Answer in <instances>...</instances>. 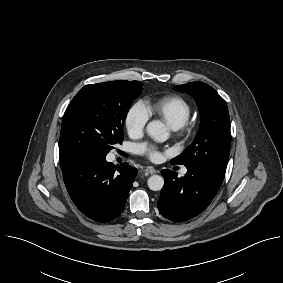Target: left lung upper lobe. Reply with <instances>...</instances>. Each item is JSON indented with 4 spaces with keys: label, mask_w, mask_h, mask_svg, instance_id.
<instances>
[{
    "label": "left lung upper lobe",
    "mask_w": 283,
    "mask_h": 283,
    "mask_svg": "<svg viewBox=\"0 0 283 283\" xmlns=\"http://www.w3.org/2000/svg\"><path fill=\"white\" fill-rule=\"evenodd\" d=\"M192 95L201 116V124L194 142L171 164L187 168L222 182L230 153V117L226 101L208 84L190 82L173 87Z\"/></svg>",
    "instance_id": "1"
}]
</instances>
